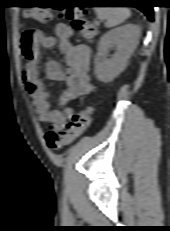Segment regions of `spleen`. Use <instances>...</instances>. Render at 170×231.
<instances>
[{"label":"spleen","instance_id":"spleen-1","mask_svg":"<svg viewBox=\"0 0 170 231\" xmlns=\"http://www.w3.org/2000/svg\"><path fill=\"white\" fill-rule=\"evenodd\" d=\"M94 9L100 20H106L107 28L117 26L130 17V10L127 7H95Z\"/></svg>","mask_w":170,"mask_h":231}]
</instances>
